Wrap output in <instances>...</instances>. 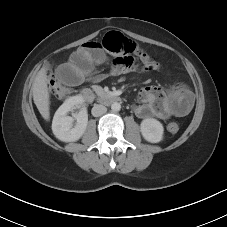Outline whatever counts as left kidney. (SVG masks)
<instances>
[{
	"label": "left kidney",
	"mask_w": 227,
	"mask_h": 227,
	"mask_svg": "<svg viewBox=\"0 0 227 227\" xmlns=\"http://www.w3.org/2000/svg\"><path fill=\"white\" fill-rule=\"evenodd\" d=\"M143 138L151 143H158L163 140V125L154 118L144 119L140 124Z\"/></svg>",
	"instance_id": "left-kidney-1"
}]
</instances>
